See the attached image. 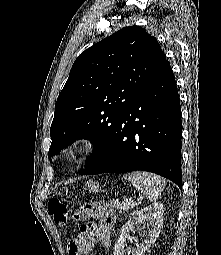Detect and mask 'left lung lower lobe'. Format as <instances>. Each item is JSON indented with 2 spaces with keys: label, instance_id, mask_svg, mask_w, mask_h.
<instances>
[{
  "label": "left lung lower lobe",
  "instance_id": "left-lung-lower-lobe-1",
  "mask_svg": "<svg viewBox=\"0 0 221 255\" xmlns=\"http://www.w3.org/2000/svg\"><path fill=\"white\" fill-rule=\"evenodd\" d=\"M181 106L165 59L154 79L125 109L100 155L79 174L148 171L182 189Z\"/></svg>",
  "mask_w": 221,
  "mask_h": 255
}]
</instances>
